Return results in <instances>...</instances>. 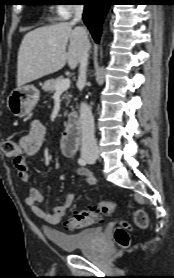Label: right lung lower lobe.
Returning <instances> with one entry per match:
<instances>
[{
	"instance_id": "1",
	"label": "right lung lower lobe",
	"mask_w": 174,
	"mask_h": 278,
	"mask_svg": "<svg viewBox=\"0 0 174 278\" xmlns=\"http://www.w3.org/2000/svg\"><path fill=\"white\" fill-rule=\"evenodd\" d=\"M85 5L83 20L96 43L99 42L101 25L105 14L112 4L111 0H83Z\"/></svg>"
}]
</instances>
